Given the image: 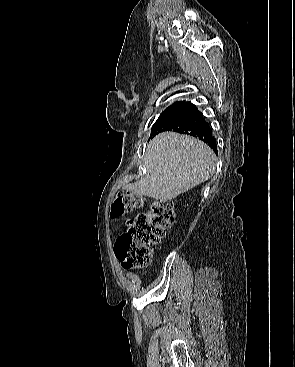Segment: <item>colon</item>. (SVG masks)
I'll list each match as a JSON object with an SVG mask.
<instances>
[{
	"mask_svg": "<svg viewBox=\"0 0 295 367\" xmlns=\"http://www.w3.org/2000/svg\"><path fill=\"white\" fill-rule=\"evenodd\" d=\"M144 200L131 193L117 195L112 204L114 217L130 213L143 206ZM175 220L173 204L168 201H154L150 209L138 213L127 221V230L115 243V254L122 266L141 268L149 265L157 245L165 237Z\"/></svg>",
	"mask_w": 295,
	"mask_h": 367,
	"instance_id": "5ec220e1",
	"label": "colon"
}]
</instances>
